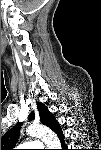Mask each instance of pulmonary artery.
Returning <instances> with one entry per match:
<instances>
[{"instance_id": "e3ab8cb5", "label": "pulmonary artery", "mask_w": 101, "mask_h": 150, "mask_svg": "<svg viewBox=\"0 0 101 150\" xmlns=\"http://www.w3.org/2000/svg\"><path fill=\"white\" fill-rule=\"evenodd\" d=\"M40 146H41L40 142H37V141L29 142V143L22 145V147H27V148H38Z\"/></svg>"}]
</instances>
